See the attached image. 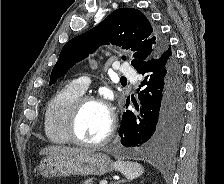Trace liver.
<instances>
[{
    "instance_id": "6515ba94",
    "label": "liver",
    "mask_w": 224,
    "mask_h": 184,
    "mask_svg": "<svg viewBox=\"0 0 224 184\" xmlns=\"http://www.w3.org/2000/svg\"><path fill=\"white\" fill-rule=\"evenodd\" d=\"M87 150L78 149V148H70V147H62V146H48L43 148L40 151V155L49 156H60V155H70L78 152H85Z\"/></svg>"
}]
</instances>
